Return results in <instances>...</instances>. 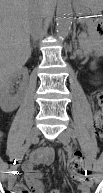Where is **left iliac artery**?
<instances>
[{
	"label": "left iliac artery",
	"instance_id": "obj_1",
	"mask_svg": "<svg viewBox=\"0 0 103 193\" xmlns=\"http://www.w3.org/2000/svg\"><path fill=\"white\" fill-rule=\"evenodd\" d=\"M69 135L73 139H76V137H77L76 132L73 129H69ZM85 168H86V171L88 172V174L93 175L91 161H90L89 158H87L86 161H85Z\"/></svg>",
	"mask_w": 103,
	"mask_h": 193
}]
</instances>
